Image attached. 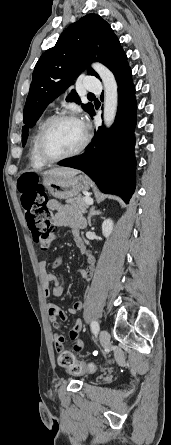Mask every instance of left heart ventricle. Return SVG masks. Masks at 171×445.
<instances>
[{"label":"left heart ventricle","mask_w":171,"mask_h":445,"mask_svg":"<svg viewBox=\"0 0 171 445\" xmlns=\"http://www.w3.org/2000/svg\"><path fill=\"white\" fill-rule=\"evenodd\" d=\"M84 131L75 121H61L53 125L44 139V150L51 157H57L75 150L82 142Z\"/></svg>","instance_id":"left-heart-ventricle-1"}]
</instances>
